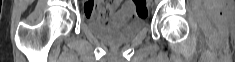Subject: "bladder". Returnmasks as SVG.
I'll return each mask as SVG.
<instances>
[{
	"mask_svg": "<svg viewBox=\"0 0 235 62\" xmlns=\"http://www.w3.org/2000/svg\"><path fill=\"white\" fill-rule=\"evenodd\" d=\"M145 18L132 10L115 12L108 23L88 21L87 26L98 38L108 43H123L131 40L145 27Z\"/></svg>",
	"mask_w": 235,
	"mask_h": 62,
	"instance_id": "1",
	"label": "bladder"
}]
</instances>
